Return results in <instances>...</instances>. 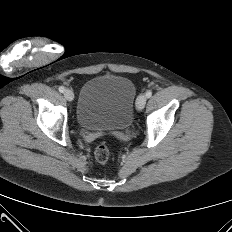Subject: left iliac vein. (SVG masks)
Wrapping results in <instances>:
<instances>
[{
  "label": "left iliac vein",
  "mask_w": 232,
  "mask_h": 232,
  "mask_svg": "<svg viewBox=\"0 0 232 232\" xmlns=\"http://www.w3.org/2000/svg\"><path fill=\"white\" fill-rule=\"evenodd\" d=\"M147 97L144 94H140L136 99V109L141 111L146 104Z\"/></svg>",
  "instance_id": "4c4485c4"
}]
</instances>
